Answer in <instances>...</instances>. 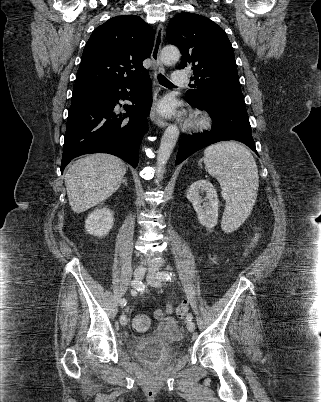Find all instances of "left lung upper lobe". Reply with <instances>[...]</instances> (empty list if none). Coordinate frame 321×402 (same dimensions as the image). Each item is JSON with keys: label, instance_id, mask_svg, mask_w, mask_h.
Returning <instances> with one entry per match:
<instances>
[{"label": "left lung upper lobe", "instance_id": "1", "mask_svg": "<svg viewBox=\"0 0 321 402\" xmlns=\"http://www.w3.org/2000/svg\"><path fill=\"white\" fill-rule=\"evenodd\" d=\"M167 40L182 54L181 69L191 67L195 89L186 92L193 105L219 93H242L232 45L224 30L210 19L193 13L173 17Z\"/></svg>", "mask_w": 321, "mask_h": 402}]
</instances>
